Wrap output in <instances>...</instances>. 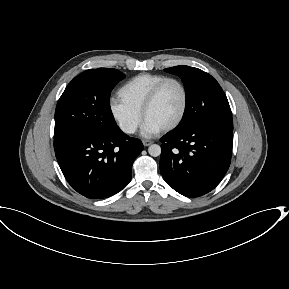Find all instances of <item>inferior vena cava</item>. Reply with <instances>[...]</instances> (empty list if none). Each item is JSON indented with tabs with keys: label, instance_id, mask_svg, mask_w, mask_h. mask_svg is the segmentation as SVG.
Masks as SVG:
<instances>
[{
	"label": "inferior vena cava",
	"instance_id": "inferior-vena-cava-1",
	"mask_svg": "<svg viewBox=\"0 0 289 289\" xmlns=\"http://www.w3.org/2000/svg\"><path fill=\"white\" fill-rule=\"evenodd\" d=\"M121 129L125 132V133H134L136 130V126L134 124H125L121 126Z\"/></svg>",
	"mask_w": 289,
	"mask_h": 289
}]
</instances>
